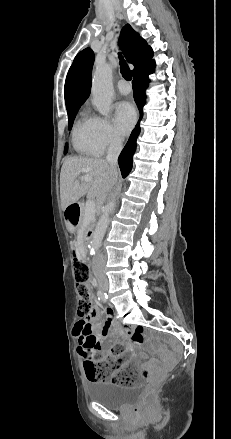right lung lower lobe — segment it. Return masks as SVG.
Segmentation results:
<instances>
[{"label": "right lung lower lobe", "mask_w": 231, "mask_h": 439, "mask_svg": "<svg viewBox=\"0 0 231 439\" xmlns=\"http://www.w3.org/2000/svg\"><path fill=\"white\" fill-rule=\"evenodd\" d=\"M154 68H155V63L154 61H152L150 64L141 68L140 70H138L133 74L134 80L132 82V87H133L134 99L140 112V118L137 125L133 129L128 142L126 143L124 149L122 150L118 158V162L123 178H125L132 169L133 154L136 150V140L138 135L140 134L139 122L142 119L143 116L142 108L146 102L145 90L150 82V80L148 79V75L154 72Z\"/></svg>", "instance_id": "98d812e1"}]
</instances>
